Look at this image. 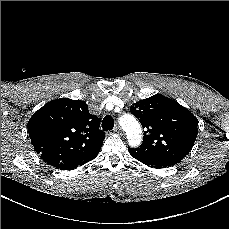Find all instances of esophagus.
<instances>
[{
    "label": "esophagus",
    "mask_w": 229,
    "mask_h": 229,
    "mask_svg": "<svg viewBox=\"0 0 229 229\" xmlns=\"http://www.w3.org/2000/svg\"><path fill=\"white\" fill-rule=\"evenodd\" d=\"M114 132L121 134V135L123 134V130L119 125L114 127Z\"/></svg>",
    "instance_id": "obj_1"
}]
</instances>
